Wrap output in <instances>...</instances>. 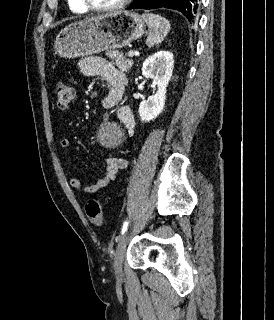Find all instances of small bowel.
Here are the masks:
<instances>
[{
    "label": "small bowel",
    "mask_w": 274,
    "mask_h": 320,
    "mask_svg": "<svg viewBox=\"0 0 274 320\" xmlns=\"http://www.w3.org/2000/svg\"><path fill=\"white\" fill-rule=\"evenodd\" d=\"M81 73L86 77H101L109 85L110 90L103 99L105 108H117L119 120L122 122L128 135H131L134 128V120L130 109L127 106H121L120 102L124 95L126 77L125 74L113 66L106 59L98 56L82 58L79 61ZM70 145L68 139L60 141V146L67 149ZM128 161L123 157L108 156L105 159L103 175L91 184H84L77 177H70L68 183L76 192L81 194H93L104 190L108 184L113 182L117 173L127 168Z\"/></svg>",
    "instance_id": "obj_1"
}]
</instances>
